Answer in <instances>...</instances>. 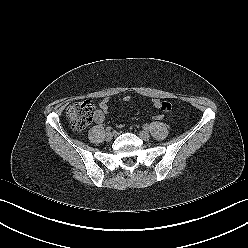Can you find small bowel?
Returning a JSON list of instances; mask_svg holds the SVG:
<instances>
[{
  "mask_svg": "<svg viewBox=\"0 0 248 248\" xmlns=\"http://www.w3.org/2000/svg\"><path fill=\"white\" fill-rule=\"evenodd\" d=\"M130 100H131V96L129 95H125L121 98V101L124 103H128ZM109 102H110L109 98H104L99 103V108L96 110L94 114V121L96 123L100 124L104 121L105 115L108 113L109 110ZM152 104L155 108H157L164 114H168L171 111V104L168 102L155 99L152 101Z\"/></svg>",
  "mask_w": 248,
  "mask_h": 248,
  "instance_id": "obj_1",
  "label": "small bowel"
}]
</instances>
